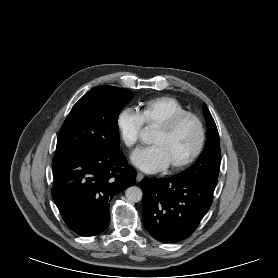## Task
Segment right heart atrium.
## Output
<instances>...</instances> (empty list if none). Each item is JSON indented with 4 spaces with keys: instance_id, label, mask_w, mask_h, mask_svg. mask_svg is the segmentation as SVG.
I'll use <instances>...</instances> for the list:
<instances>
[{
    "instance_id": "right-heart-atrium-1",
    "label": "right heart atrium",
    "mask_w": 278,
    "mask_h": 278,
    "mask_svg": "<svg viewBox=\"0 0 278 278\" xmlns=\"http://www.w3.org/2000/svg\"><path fill=\"white\" fill-rule=\"evenodd\" d=\"M143 125L139 112L133 108L122 109L116 118L118 133L121 140L128 148L138 143Z\"/></svg>"
}]
</instances>
